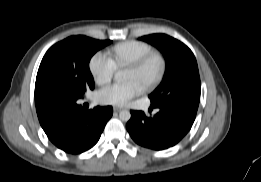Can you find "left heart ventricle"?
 <instances>
[{"label":"left heart ventricle","mask_w":261,"mask_h":182,"mask_svg":"<svg viewBox=\"0 0 261 182\" xmlns=\"http://www.w3.org/2000/svg\"><path fill=\"white\" fill-rule=\"evenodd\" d=\"M156 69L157 63L155 61H151L139 71L127 69L125 72L124 81H136L141 86H144V84L154 75Z\"/></svg>","instance_id":"left-heart-ventricle-1"}]
</instances>
